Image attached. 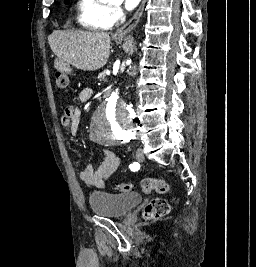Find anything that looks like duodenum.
<instances>
[{"mask_svg": "<svg viewBox=\"0 0 256 267\" xmlns=\"http://www.w3.org/2000/svg\"><path fill=\"white\" fill-rule=\"evenodd\" d=\"M58 71H60V73H71V68H65V66H58ZM101 89V99H112L113 98V93L114 90L113 89H107L106 85H101L100 86Z\"/></svg>", "mask_w": 256, "mask_h": 267, "instance_id": "duodenum-1", "label": "duodenum"}]
</instances>
